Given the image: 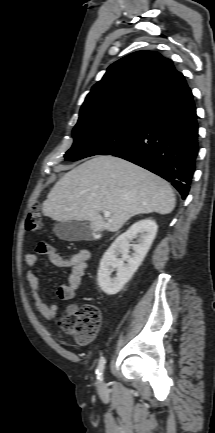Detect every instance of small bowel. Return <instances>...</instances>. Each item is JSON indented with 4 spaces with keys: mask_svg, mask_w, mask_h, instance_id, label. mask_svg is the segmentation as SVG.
<instances>
[{
    "mask_svg": "<svg viewBox=\"0 0 215 433\" xmlns=\"http://www.w3.org/2000/svg\"><path fill=\"white\" fill-rule=\"evenodd\" d=\"M36 251L38 254L45 255L53 266L70 269L67 282L57 288L56 294L61 300L72 301L81 287L82 278L86 273L91 258V251L80 249L69 257H64L46 242H40L36 247ZM25 263L28 266L27 282L29 293L37 310L48 319L54 318L58 313V307L53 303H48L44 299L39 286V280L35 273L38 255L36 253H27L25 255ZM75 310L76 306L74 304H70L67 308L69 313H73Z\"/></svg>",
    "mask_w": 215,
    "mask_h": 433,
    "instance_id": "1",
    "label": "small bowel"
}]
</instances>
